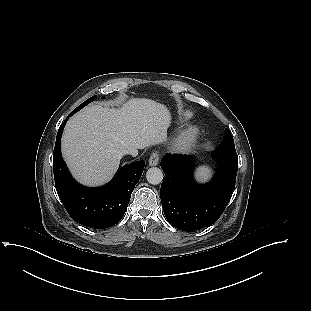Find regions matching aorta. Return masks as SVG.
Returning a JSON list of instances; mask_svg holds the SVG:
<instances>
[{"label":"aorta","mask_w":311,"mask_h":311,"mask_svg":"<svg viewBox=\"0 0 311 311\" xmlns=\"http://www.w3.org/2000/svg\"><path fill=\"white\" fill-rule=\"evenodd\" d=\"M146 179L152 185H158L163 180V172L160 168L151 167L146 172Z\"/></svg>","instance_id":"1"}]
</instances>
